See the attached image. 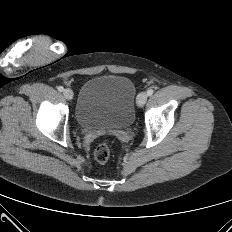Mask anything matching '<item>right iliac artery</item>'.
Here are the masks:
<instances>
[{
    "instance_id": "1",
    "label": "right iliac artery",
    "mask_w": 232,
    "mask_h": 232,
    "mask_svg": "<svg viewBox=\"0 0 232 232\" xmlns=\"http://www.w3.org/2000/svg\"><path fill=\"white\" fill-rule=\"evenodd\" d=\"M58 91L62 92L64 90V88L62 86H59L58 88Z\"/></svg>"
}]
</instances>
